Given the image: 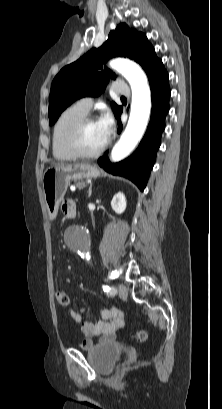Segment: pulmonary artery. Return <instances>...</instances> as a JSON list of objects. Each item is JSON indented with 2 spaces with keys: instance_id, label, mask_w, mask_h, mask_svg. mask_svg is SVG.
Here are the masks:
<instances>
[{
  "instance_id": "pulmonary-artery-1",
  "label": "pulmonary artery",
  "mask_w": 222,
  "mask_h": 409,
  "mask_svg": "<svg viewBox=\"0 0 222 409\" xmlns=\"http://www.w3.org/2000/svg\"><path fill=\"white\" fill-rule=\"evenodd\" d=\"M114 93L121 95H128L129 89L125 84H119L113 88ZM76 105L83 111L89 112L93 106L92 97H84L76 102Z\"/></svg>"
}]
</instances>
